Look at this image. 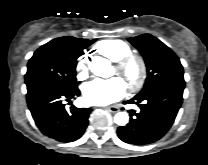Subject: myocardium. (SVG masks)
Returning <instances> with one entry per match:
<instances>
[{"label": "myocardium", "mask_w": 208, "mask_h": 165, "mask_svg": "<svg viewBox=\"0 0 208 165\" xmlns=\"http://www.w3.org/2000/svg\"><path fill=\"white\" fill-rule=\"evenodd\" d=\"M133 62L138 65L139 72L137 78L126 85L131 92L141 89L146 81L147 65L145 59L141 55L130 53L114 62L117 73H122Z\"/></svg>", "instance_id": "obj_1"}]
</instances>
